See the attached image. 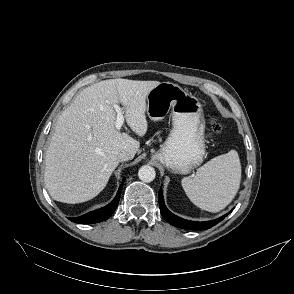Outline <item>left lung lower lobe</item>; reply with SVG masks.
Returning a JSON list of instances; mask_svg holds the SVG:
<instances>
[{
    "mask_svg": "<svg viewBox=\"0 0 294 294\" xmlns=\"http://www.w3.org/2000/svg\"><path fill=\"white\" fill-rule=\"evenodd\" d=\"M158 200H159V207H160V212L164 219L170 223L173 226L182 228V229H188V230H206L211 228L212 226L216 225L218 222L223 220L226 215L212 221H207V222H194V221H189L182 219L174 214H172L165 206L164 204V199H163V194L162 190H159L158 194Z\"/></svg>",
    "mask_w": 294,
    "mask_h": 294,
    "instance_id": "obj_1",
    "label": "left lung lower lobe"
}]
</instances>
